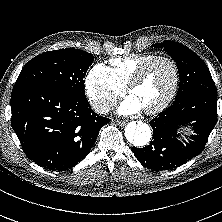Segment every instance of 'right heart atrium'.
<instances>
[{"mask_svg": "<svg viewBox=\"0 0 222 222\" xmlns=\"http://www.w3.org/2000/svg\"><path fill=\"white\" fill-rule=\"evenodd\" d=\"M85 89L93 109L98 113H106L126 88L116 80L109 67L100 63L89 70Z\"/></svg>", "mask_w": 222, "mask_h": 222, "instance_id": "obj_1", "label": "right heart atrium"}]
</instances>
